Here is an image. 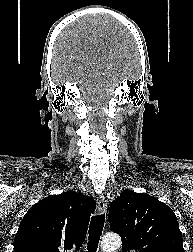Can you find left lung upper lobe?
<instances>
[{
  "label": "left lung upper lobe",
  "mask_w": 193,
  "mask_h": 252,
  "mask_svg": "<svg viewBox=\"0 0 193 252\" xmlns=\"http://www.w3.org/2000/svg\"><path fill=\"white\" fill-rule=\"evenodd\" d=\"M109 222L122 237L123 252H184L174 212L147 193L121 192L110 204Z\"/></svg>",
  "instance_id": "left-lung-upper-lobe-1"
}]
</instances>
